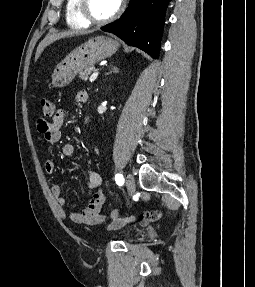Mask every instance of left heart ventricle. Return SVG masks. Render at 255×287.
Returning <instances> with one entry per match:
<instances>
[{"instance_id":"obj_1","label":"left heart ventricle","mask_w":255,"mask_h":287,"mask_svg":"<svg viewBox=\"0 0 255 287\" xmlns=\"http://www.w3.org/2000/svg\"><path fill=\"white\" fill-rule=\"evenodd\" d=\"M95 33H122V32H95ZM95 39H124V38H95ZM91 48H131V47H91Z\"/></svg>"}]
</instances>
